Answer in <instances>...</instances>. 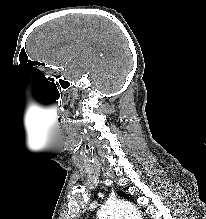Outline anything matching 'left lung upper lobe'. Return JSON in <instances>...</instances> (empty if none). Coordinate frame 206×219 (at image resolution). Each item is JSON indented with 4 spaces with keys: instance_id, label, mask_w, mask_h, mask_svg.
I'll use <instances>...</instances> for the list:
<instances>
[{
    "instance_id": "1",
    "label": "left lung upper lobe",
    "mask_w": 206,
    "mask_h": 219,
    "mask_svg": "<svg viewBox=\"0 0 206 219\" xmlns=\"http://www.w3.org/2000/svg\"><path fill=\"white\" fill-rule=\"evenodd\" d=\"M117 193L121 197H128V195L126 193L122 192V191H118Z\"/></svg>"
}]
</instances>
